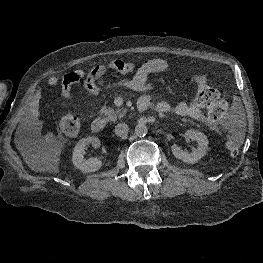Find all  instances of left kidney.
<instances>
[{
    "mask_svg": "<svg viewBox=\"0 0 263 263\" xmlns=\"http://www.w3.org/2000/svg\"><path fill=\"white\" fill-rule=\"evenodd\" d=\"M184 137L188 140L197 142V148L192 153H189L174 144L171 147L172 153L176 158L181 159L184 162L196 163L199 159L206 155L209 143L208 139L204 133L193 129L187 130Z\"/></svg>",
    "mask_w": 263,
    "mask_h": 263,
    "instance_id": "1",
    "label": "left kidney"
}]
</instances>
